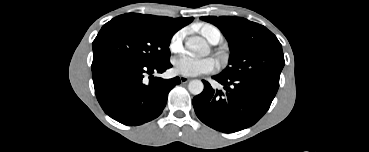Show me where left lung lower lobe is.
Instances as JSON below:
<instances>
[{
	"label": "left lung lower lobe",
	"mask_w": 369,
	"mask_h": 152,
	"mask_svg": "<svg viewBox=\"0 0 369 152\" xmlns=\"http://www.w3.org/2000/svg\"><path fill=\"white\" fill-rule=\"evenodd\" d=\"M224 90L203 80L204 90L193 98L197 117L209 127L232 133L254 125L269 109L279 81L258 77H212Z\"/></svg>",
	"instance_id": "1"
}]
</instances>
